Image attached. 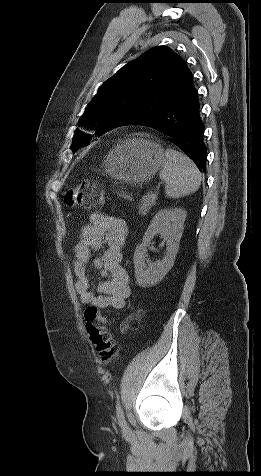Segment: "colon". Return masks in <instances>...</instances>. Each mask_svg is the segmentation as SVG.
Instances as JSON below:
<instances>
[{
	"label": "colon",
	"mask_w": 261,
	"mask_h": 476,
	"mask_svg": "<svg viewBox=\"0 0 261 476\" xmlns=\"http://www.w3.org/2000/svg\"><path fill=\"white\" fill-rule=\"evenodd\" d=\"M66 205L85 210L100 208L104 203V190L98 183L84 180L64 194ZM85 326L88 337L95 346L103 363L112 361L118 352V344L107 330V319L97 307L85 310ZM141 312L131 313L122 323L123 331L135 328L141 319Z\"/></svg>",
	"instance_id": "obj_1"
}]
</instances>
